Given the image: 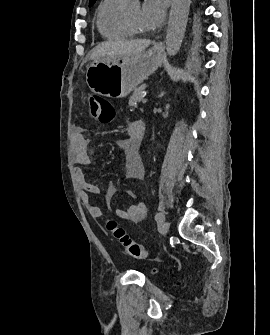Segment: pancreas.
<instances>
[{"label":"pancreas","instance_id":"obj_1","mask_svg":"<svg viewBox=\"0 0 270 335\" xmlns=\"http://www.w3.org/2000/svg\"><path fill=\"white\" fill-rule=\"evenodd\" d=\"M146 84H142L139 88H135L130 100L129 106H135L137 108V102H142L143 90H145Z\"/></svg>","mask_w":270,"mask_h":335}]
</instances>
